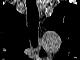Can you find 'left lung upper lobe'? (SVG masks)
<instances>
[{"label": "left lung upper lobe", "instance_id": "1", "mask_svg": "<svg viewBox=\"0 0 80 60\" xmlns=\"http://www.w3.org/2000/svg\"><path fill=\"white\" fill-rule=\"evenodd\" d=\"M68 2H61L53 11L50 18L45 21V28L48 30L56 31L61 38L63 43L60 52L71 50V33L72 25L70 22L72 8Z\"/></svg>", "mask_w": 80, "mask_h": 60}]
</instances>
